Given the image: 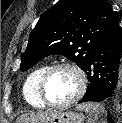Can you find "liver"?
Listing matches in <instances>:
<instances>
[{"instance_id": "6515ba94", "label": "liver", "mask_w": 122, "mask_h": 123, "mask_svg": "<svg viewBox=\"0 0 122 123\" xmlns=\"http://www.w3.org/2000/svg\"><path fill=\"white\" fill-rule=\"evenodd\" d=\"M51 117V112L26 113L21 115L16 123H45Z\"/></svg>"}]
</instances>
